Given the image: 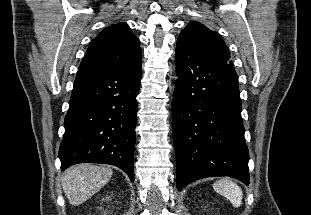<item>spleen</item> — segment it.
<instances>
[{"label":"spleen","mask_w":311,"mask_h":215,"mask_svg":"<svg viewBox=\"0 0 311 215\" xmlns=\"http://www.w3.org/2000/svg\"><path fill=\"white\" fill-rule=\"evenodd\" d=\"M213 188L217 193L226 197L235 208L241 206L243 192L235 182L228 179H221L213 184Z\"/></svg>","instance_id":"1"}]
</instances>
